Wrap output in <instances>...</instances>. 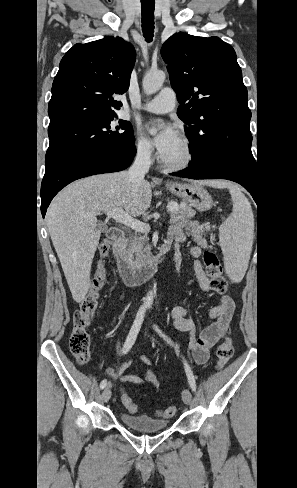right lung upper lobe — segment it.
<instances>
[{
  "mask_svg": "<svg viewBox=\"0 0 297 488\" xmlns=\"http://www.w3.org/2000/svg\"><path fill=\"white\" fill-rule=\"evenodd\" d=\"M135 50L119 37L74 45L62 58L48 105V133L116 116L113 94L129 88Z\"/></svg>",
  "mask_w": 297,
  "mask_h": 488,
  "instance_id": "cb5924a9",
  "label": "right lung upper lobe"
}]
</instances>
